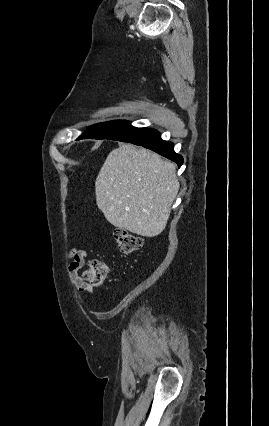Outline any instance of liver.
<instances>
[{"label":"liver","instance_id":"liver-1","mask_svg":"<svg viewBox=\"0 0 269 426\" xmlns=\"http://www.w3.org/2000/svg\"><path fill=\"white\" fill-rule=\"evenodd\" d=\"M179 187L175 164L150 150L122 144L99 171L96 203L113 226L155 237L166 227Z\"/></svg>","mask_w":269,"mask_h":426}]
</instances>
